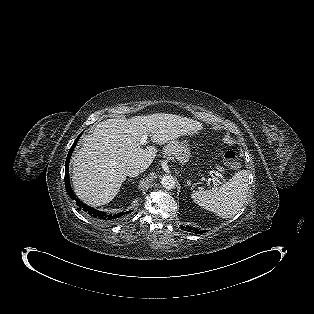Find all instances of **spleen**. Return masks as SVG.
Segmentation results:
<instances>
[{
	"label": "spleen",
	"mask_w": 314,
	"mask_h": 314,
	"mask_svg": "<svg viewBox=\"0 0 314 314\" xmlns=\"http://www.w3.org/2000/svg\"><path fill=\"white\" fill-rule=\"evenodd\" d=\"M248 173L238 171L233 177L212 190H199L191 194L193 201L221 218L234 216L245 202L248 194Z\"/></svg>",
	"instance_id": "3e777b00"
}]
</instances>
